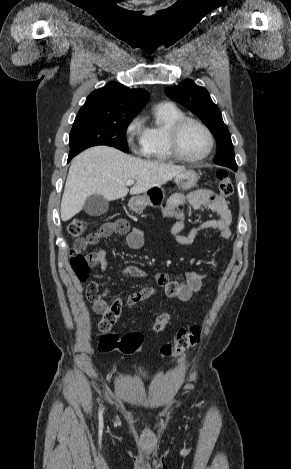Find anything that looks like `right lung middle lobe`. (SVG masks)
<instances>
[{"label": "right lung middle lobe", "mask_w": 291, "mask_h": 469, "mask_svg": "<svg viewBox=\"0 0 291 469\" xmlns=\"http://www.w3.org/2000/svg\"><path fill=\"white\" fill-rule=\"evenodd\" d=\"M133 118L77 115L69 135V156L95 145L113 146L128 152L126 130Z\"/></svg>", "instance_id": "dd1d6c3e"}]
</instances>
